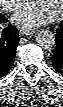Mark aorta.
Wrapping results in <instances>:
<instances>
[{
    "label": "aorta",
    "mask_w": 63,
    "mask_h": 107,
    "mask_svg": "<svg viewBox=\"0 0 63 107\" xmlns=\"http://www.w3.org/2000/svg\"><path fill=\"white\" fill-rule=\"evenodd\" d=\"M36 41L42 48H50L55 45V34L50 30H41L36 36Z\"/></svg>",
    "instance_id": "1"
}]
</instances>
